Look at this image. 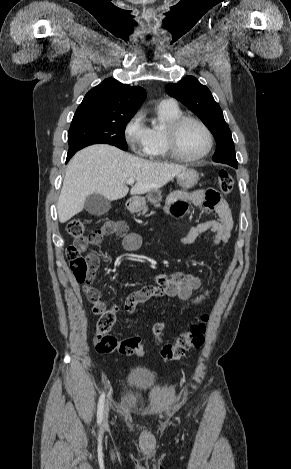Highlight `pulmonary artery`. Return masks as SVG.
Listing matches in <instances>:
<instances>
[{"label":"pulmonary artery","instance_id":"obj_1","mask_svg":"<svg viewBox=\"0 0 291 469\" xmlns=\"http://www.w3.org/2000/svg\"><path fill=\"white\" fill-rule=\"evenodd\" d=\"M161 104H164V105H171V106H175L177 105L176 104V101L174 99H166V100H163L161 102Z\"/></svg>","mask_w":291,"mask_h":469}]
</instances>
